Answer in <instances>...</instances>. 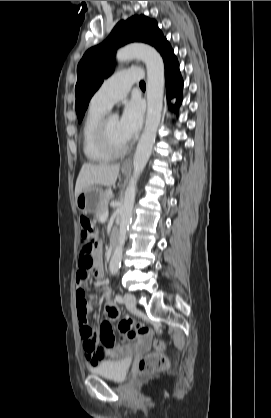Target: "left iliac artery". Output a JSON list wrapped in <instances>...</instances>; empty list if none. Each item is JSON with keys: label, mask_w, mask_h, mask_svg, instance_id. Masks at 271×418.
I'll use <instances>...</instances> for the list:
<instances>
[{"label": "left iliac artery", "mask_w": 271, "mask_h": 418, "mask_svg": "<svg viewBox=\"0 0 271 418\" xmlns=\"http://www.w3.org/2000/svg\"><path fill=\"white\" fill-rule=\"evenodd\" d=\"M115 300H116L118 303H123V302H124V297H123L122 295H120V294H117V295L115 296Z\"/></svg>", "instance_id": "44dca946"}]
</instances>
